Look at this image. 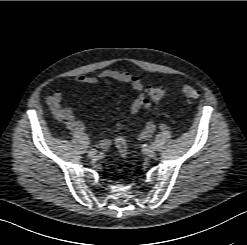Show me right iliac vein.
Segmentation results:
<instances>
[{
    "label": "right iliac vein",
    "instance_id": "63e3f726",
    "mask_svg": "<svg viewBox=\"0 0 247 245\" xmlns=\"http://www.w3.org/2000/svg\"><path fill=\"white\" fill-rule=\"evenodd\" d=\"M88 156L91 158H94V157H96V152L95 151H89Z\"/></svg>",
    "mask_w": 247,
    "mask_h": 245
}]
</instances>
